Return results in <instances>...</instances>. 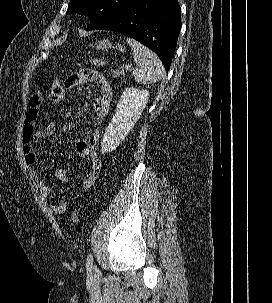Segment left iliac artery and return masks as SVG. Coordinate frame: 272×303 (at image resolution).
Returning a JSON list of instances; mask_svg holds the SVG:
<instances>
[{"label": "left iliac artery", "mask_w": 272, "mask_h": 303, "mask_svg": "<svg viewBox=\"0 0 272 303\" xmlns=\"http://www.w3.org/2000/svg\"><path fill=\"white\" fill-rule=\"evenodd\" d=\"M87 271H92L94 265H93V255L90 253L87 257Z\"/></svg>", "instance_id": "left-iliac-artery-1"}]
</instances>
